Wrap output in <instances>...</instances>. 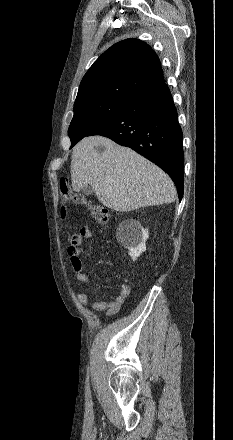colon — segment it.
I'll use <instances>...</instances> for the list:
<instances>
[{
	"instance_id": "obj_1",
	"label": "colon",
	"mask_w": 233,
	"mask_h": 440,
	"mask_svg": "<svg viewBox=\"0 0 233 440\" xmlns=\"http://www.w3.org/2000/svg\"><path fill=\"white\" fill-rule=\"evenodd\" d=\"M59 190L60 195L63 200H72L73 202L81 205L85 209L88 210L92 218L100 225H106L108 224L110 220V216L108 213V210L102 206L93 204L82 197H80L78 194L72 192L70 189L69 179L67 177H62L59 181ZM66 206L62 205L61 207V215L62 217L66 216Z\"/></svg>"
}]
</instances>
